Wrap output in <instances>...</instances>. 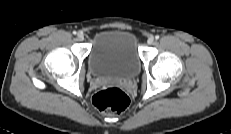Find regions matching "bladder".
Masks as SVG:
<instances>
[{
  "instance_id": "1",
  "label": "bladder",
  "mask_w": 231,
  "mask_h": 134,
  "mask_svg": "<svg viewBox=\"0 0 231 134\" xmlns=\"http://www.w3.org/2000/svg\"><path fill=\"white\" fill-rule=\"evenodd\" d=\"M136 36L127 30L111 29L93 37L88 69L95 77L130 78L140 69Z\"/></svg>"
}]
</instances>
